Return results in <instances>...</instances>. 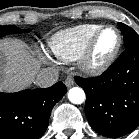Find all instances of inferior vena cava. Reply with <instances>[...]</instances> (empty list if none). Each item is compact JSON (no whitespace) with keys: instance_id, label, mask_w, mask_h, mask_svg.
<instances>
[{"instance_id":"obj_1","label":"inferior vena cava","mask_w":139,"mask_h":139,"mask_svg":"<svg viewBox=\"0 0 139 139\" xmlns=\"http://www.w3.org/2000/svg\"><path fill=\"white\" fill-rule=\"evenodd\" d=\"M59 72L55 68L43 69L38 74L34 83L42 88H47L55 84L58 80Z\"/></svg>"}]
</instances>
